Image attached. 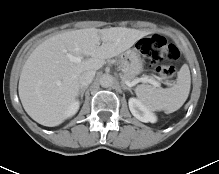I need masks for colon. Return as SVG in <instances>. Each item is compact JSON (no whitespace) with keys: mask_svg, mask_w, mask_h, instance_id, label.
<instances>
[{"mask_svg":"<svg viewBox=\"0 0 219 174\" xmlns=\"http://www.w3.org/2000/svg\"><path fill=\"white\" fill-rule=\"evenodd\" d=\"M140 52L150 59L158 75L170 83L175 73V62L179 57V50L160 35L143 38L138 42Z\"/></svg>","mask_w":219,"mask_h":174,"instance_id":"1","label":"colon"}]
</instances>
